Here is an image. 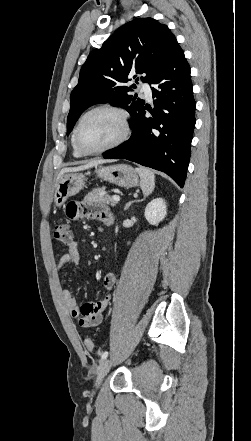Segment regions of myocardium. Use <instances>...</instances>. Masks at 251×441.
Segmentation results:
<instances>
[{"mask_svg": "<svg viewBox=\"0 0 251 441\" xmlns=\"http://www.w3.org/2000/svg\"><path fill=\"white\" fill-rule=\"evenodd\" d=\"M103 110L111 111L119 117L120 122H121V126H122L121 134L113 142L109 143L108 145H106L102 148H99L96 150H86L80 144V140H79L80 128H81L84 120L90 114L97 112V111H103ZM130 133H131V126H130L129 114L127 113L126 110H124L123 108H121L119 106L113 105V104H100V105L94 106L91 109L87 110L80 117V119L75 127V130H74V143H75L76 148L83 155H97V154L104 153L106 151H109L111 149H114V148L120 146L122 143H124L129 138Z\"/></svg>", "mask_w": 251, "mask_h": 441, "instance_id": "obj_1", "label": "myocardium"}]
</instances>
